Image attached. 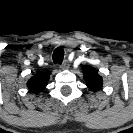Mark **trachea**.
Instances as JSON below:
<instances>
[{
	"label": "trachea",
	"mask_w": 133,
	"mask_h": 133,
	"mask_svg": "<svg viewBox=\"0 0 133 133\" xmlns=\"http://www.w3.org/2000/svg\"><path fill=\"white\" fill-rule=\"evenodd\" d=\"M64 57V50L62 47H57L53 53V62L55 64H61Z\"/></svg>",
	"instance_id": "3493384b"
}]
</instances>
